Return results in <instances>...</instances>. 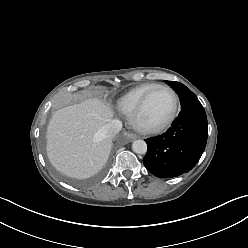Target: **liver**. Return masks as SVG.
Returning a JSON list of instances; mask_svg holds the SVG:
<instances>
[{
    "label": "liver",
    "instance_id": "6515ba94",
    "mask_svg": "<svg viewBox=\"0 0 248 248\" xmlns=\"http://www.w3.org/2000/svg\"><path fill=\"white\" fill-rule=\"evenodd\" d=\"M113 117L111 107L99 99L59 109L47 128V155L61 173L85 179L99 172L106 164L112 139L104 126Z\"/></svg>",
    "mask_w": 248,
    "mask_h": 248
}]
</instances>
